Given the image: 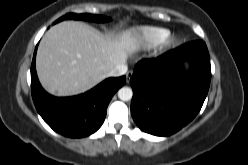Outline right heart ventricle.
Returning <instances> with one entry per match:
<instances>
[{
	"label": "right heart ventricle",
	"mask_w": 248,
	"mask_h": 165,
	"mask_svg": "<svg viewBox=\"0 0 248 165\" xmlns=\"http://www.w3.org/2000/svg\"><path fill=\"white\" fill-rule=\"evenodd\" d=\"M169 34V30L165 28L144 27L139 31L138 44L143 48L154 47L162 43Z\"/></svg>",
	"instance_id": "right-heart-ventricle-1"
}]
</instances>
